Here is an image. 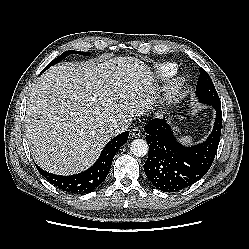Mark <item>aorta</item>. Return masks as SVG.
Wrapping results in <instances>:
<instances>
[{
	"label": "aorta",
	"mask_w": 249,
	"mask_h": 249,
	"mask_svg": "<svg viewBox=\"0 0 249 249\" xmlns=\"http://www.w3.org/2000/svg\"><path fill=\"white\" fill-rule=\"evenodd\" d=\"M130 150L137 157H144L148 154V144L143 139H135L131 142Z\"/></svg>",
	"instance_id": "1"
}]
</instances>
